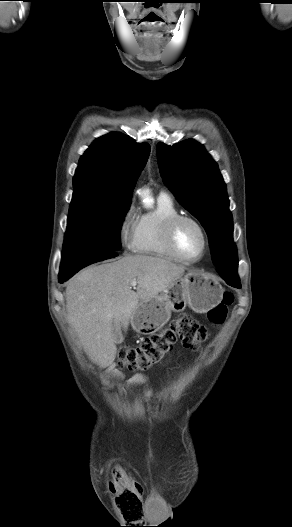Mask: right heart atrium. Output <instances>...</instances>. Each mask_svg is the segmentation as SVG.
Here are the masks:
<instances>
[{
	"instance_id": "obj_1",
	"label": "right heart atrium",
	"mask_w": 292,
	"mask_h": 527,
	"mask_svg": "<svg viewBox=\"0 0 292 527\" xmlns=\"http://www.w3.org/2000/svg\"><path fill=\"white\" fill-rule=\"evenodd\" d=\"M136 210L133 204H130L124 211L119 223V237L123 246L131 248L136 226Z\"/></svg>"
}]
</instances>
